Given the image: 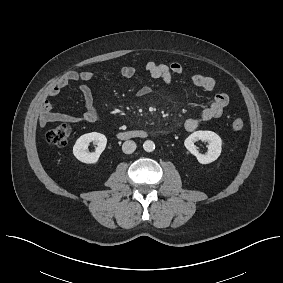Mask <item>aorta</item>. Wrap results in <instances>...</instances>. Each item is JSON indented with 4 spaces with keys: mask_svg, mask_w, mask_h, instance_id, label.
Returning a JSON list of instances; mask_svg holds the SVG:
<instances>
[{
    "mask_svg": "<svg viewBox=\"0 0 283 283\" xmlns=\"http://www.w3.org/2000/svg\"><path fill=\"white\" fill-rule=\"evenodd\" d=\"M143 149L146 152H153L155 149V143L151 140H146L143 144Z\"/></svg>",
    "mask_w": 283,
    "mask_h": 283,
    "instance_id": "762f6f07",
    "label": "aorta"
}]
</instances>
